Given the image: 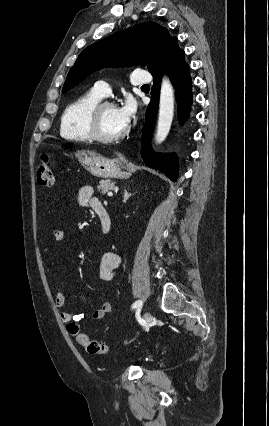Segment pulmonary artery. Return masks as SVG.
<instances>
[{"label": "pulmonary artery", "mask_w": 269, "mask_h": 426, "mask_svg": "<svg viewBox=\"0 0 269 426\" xmlns=\"http://www.w3.org/2000/svg\"><path fill=\"white\" fill-rule=\"evenodd\" d=\"M151 76L150 74L143 69L134 70L131 74V83L133 85H146L148 82H150ZM93 91L98 94L100 97H105L109 93V86L104 81L97 82L94 87Z\"/></svg>", "instance_id": "pulmonary-artery-1"}]
</instances>
